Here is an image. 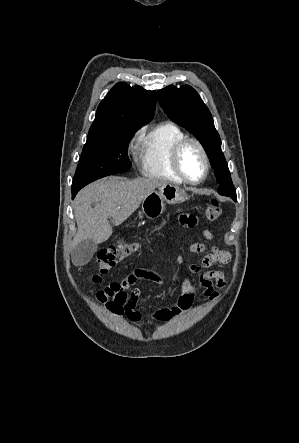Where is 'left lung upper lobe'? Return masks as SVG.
I'll return each instance as SVG.
<instances>
[{
	"label": "left lung upper lobe",
	"mask_w": 299,
	"mask_h": 443,
	"mask_svg": "<svg viewBox=\"0 0 299 443\" xmlns=\"http://www.w3.org/2000/svg\"><path fill=\"white\" fill-rule=\"evenodd\" d=\"M159 104L177 124L185 127L203 145L219 183L218 193L236 197L227 162L221 151V140L207 106L189 85L167 86L157 92Z\"/></svg>",
	"instance_id": "obj_1"
}]
</instances>
